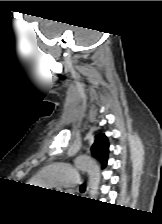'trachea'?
Masks as SVG:
<instances>
[{
	"label": "trachea",
	"mask_w": 162,
	"mask_h": 224,
	"mask_svg": "<svg viewBox=\"0 0 162 224\" xmlns=\"http://www.w3.org/2000/svg\"><path fill=\"white\" fill-rule=\"evenodd\" d=\"M86 189V186L83 184L81 187H80V190H85Z\"/></svg>",
	"instance_id": "1"
}]
</instances>
